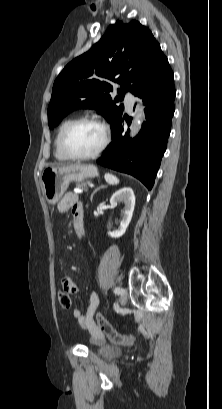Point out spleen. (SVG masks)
Segmentation results:
<instances>
[{
    "instance_id": "3e777b00",
    "label": "spleen",
    "mask_w": 222,
    "mask_h": 409,
    "mask_svg": "<svg viewBox=\"0 0 222 409\" xmlns=\"http://www.w3.org/2000/svg\"><path fill=\"white\" fill-rule=\"evenodd\" d=\"M105 180L110 185H117L119 183V179L110 173L105 174Z\"/></svg>"
}]
</instances>
